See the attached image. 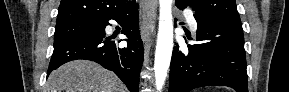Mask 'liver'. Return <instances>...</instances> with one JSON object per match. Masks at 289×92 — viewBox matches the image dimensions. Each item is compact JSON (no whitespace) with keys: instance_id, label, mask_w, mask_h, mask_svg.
<instances>
[{"instance_id":"obj_1","label":"liver","mask_w":289,"mask_h":92,"mask_svg":"<svg viewBox=\"0 0 289 92\" xmlns=\"http://www.w3.org/2000/svg\"><path fill=\"white\" fill-rule=\"evenodd\" d=\"M46 92H127V89L113 72L91 61L76 60L50 74Z\"/></svg>"}]
</instances>
